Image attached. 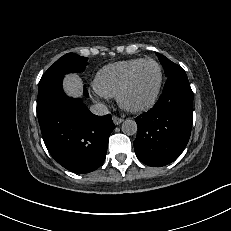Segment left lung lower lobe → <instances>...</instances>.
<instances>
[{
    "mask_svg": "<svg viewBox=\"0 0 231 231\" xmlns=\"http://www.w3.org/2000/svg\"><path fill=\"white\" fill-rule=\"evenodd\" d=\"M193 92L183 69L168 76L163 92L152 109L138 116L134 149L138 159L149 166L173 162L190 138Z\"/></svg>",
    "mask_w": 231,
    "mask_h": 231,
    "instance_id": "1",
    "label": "left lung lower lobe"
}]
</instances>
